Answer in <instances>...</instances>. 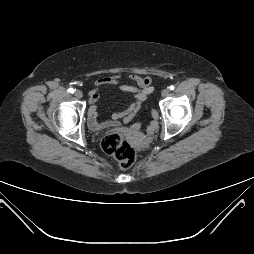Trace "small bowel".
Listing matches in <instances>:
<instances>
[{"label":"small bowel","instance_id":"c3829d8e","mask_svg":"<svg viewBox=\"0 0 254 254\" xmlns=\"http://www.w3.org/2000/svg\"><path fill=\"white\" fill-rule=\"evenodd\" d=\"M130 83H122L119 75H109L95 80L94 88L89 93L88 124L94 130H100L112 126V122L99 123L98 118V102L100 100V89L105 86H117L120 91L131 93L134 95V101L130 107L120 113L113 114V120L122 119L128 122L139 110L142 102H144L153 90L152 78L150 76L131 75L128 77ZM153 121L148 126V133H152L157 129L156 111H152Z\"/></svg>","mask_w":254,"mask_h":254}]
</instances>
